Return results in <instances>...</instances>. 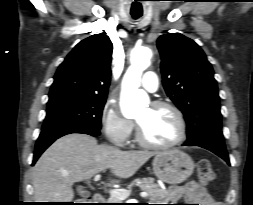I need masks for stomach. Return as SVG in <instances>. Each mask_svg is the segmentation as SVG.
Returning a JSON list of instances; mask_svg holds the SVG:
<instances>
[{"label":"stomach","mask_w":253,"mask_h":205,"mask_svg":"<svg viewBox=\"0 0 253 205\" xmlns=\"http://www.w3.org/2000/svg\"><path fill=\"white\" fill-rule=\"evenodd\" d=\"M194 170L192 158L181 150H167L158 153L153 160V171L158 179L168 184H180L191 176Z\"/></svg>","instance_id":"obj_1"}]
</instances>
